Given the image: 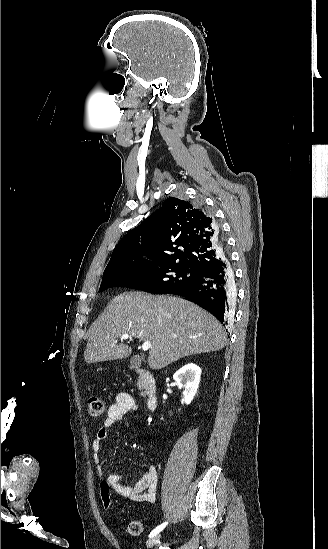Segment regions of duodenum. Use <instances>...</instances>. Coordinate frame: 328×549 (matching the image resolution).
Returning a JSON list of instances; mask_svg holds the SVG:
<instances>
[{
  "label": "duodenum",
  "instance_id": "duodenum-1",
  "mask_svg": "<svg viewBox=\"0 0 328 549\" xmlns=\"http://www.w3.org/2000/svg\"><path fill=\"white\" fill-rule=\"evenodd\" d=\"M135 372L139 375L145 389L146 405L150 411H154L158 405V397L156 393V384L154 376L148 370L135 368Z\"/></svg>",
  "mask_w": 328,
  "mask_h": 549
}]
</instances>
